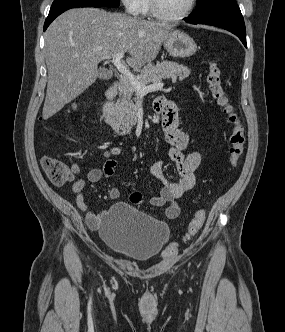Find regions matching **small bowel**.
Masks as SVG:
<instances>
[{
    "label": "small bowel",
    "mask_w": 285,
    "mask_h": 332,
    "mask_svg": "<svg viewBox=\"0 0 285 332\" xmlns=\"http://www.w3.org/2000/svg\"><path fill=\"white\" fill-rule=\"evenodd\" d=\"M155 110L162 115V129L165 141L171 145L166 159L174 163L179 175V180L173 182L165 176L164 165L166 159L155 161L150 167V172L161 182L162 187L158 194L150 198V204L154 207L166 206V217L175 219L180 214V206L177 202L178 199L195 186V171L200 165L201 155L198 152L185 154L189 138L179 128L177 110L173 103L165 101L163 109L157 107L155 103ZM123 151L124 148L119 146L108 148L104 152L103 167L91 169L86 179H76L72 184V190L77 194V206L81 211H87L86 222L91 229H97L99 227L103 214L89 211V203L84 193L86 182L96 183L102 178L110 179L114 175L118 164L117 157ZM70 167L74 175L80 173V166L77 163H72ZM109 197L114 200L118 199L120 197L119 189L111 188L109 190ZM130 201L134 204H143L144 202L139 192H133L130 195Z\"/></svg>",
    "instance_id": "c3829d8e"
}]
</instances>
